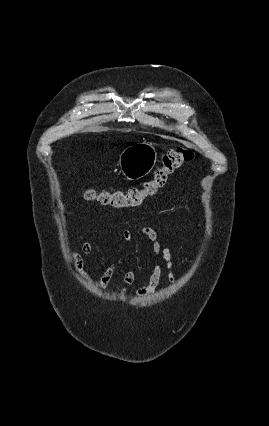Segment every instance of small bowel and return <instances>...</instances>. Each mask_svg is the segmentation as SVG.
<instances>
[{"label": "small bowel", "mask_w": 269, "mask_h": 426, "mask_svg": "<svg viewBox=\"0 0 269 426\" xmlns=\"http://www.w3.org/2000/svg\"><path fill=\"white\" fill-rule=\"evenodd\" d=\"M141 232L150 242L154 257L153 269L149 276L148 283L136 290L137 295L145 296L155 291L163 275V269L166 271L168 282H174L173 250L170 247L161 245L158 231L155 228L150 226L142 227ZM122 238L127 243L133 242V234L130 230H124L122 232ZM82 250L85 254L92 255L95 249L90 242L84 241L82 244ZM70 258L74 262L75 268L81 278L86 282L94 284L98 289H103L107 286L117 269L116 261H112L99 279L92 280L84 269V261L81 255L73 253L70 255ZM160 260L163 261V266L161 265ZM130 265L131 269L124 275L123 278V284L125 285L131 284L136 277L135 262L133 259L131 260Z\"/></svg>", "instance_id": "obj_1"}]
</instances>
